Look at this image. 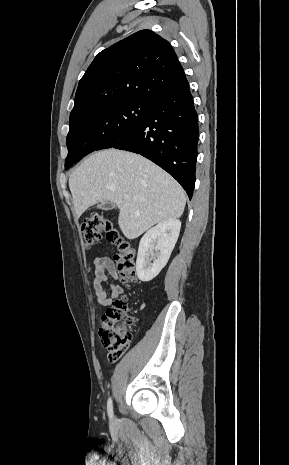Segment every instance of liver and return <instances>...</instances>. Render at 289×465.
Returning a JSON list of instances; mask_svg holds the SVG:
<instances>
[{"label": "liver", "instance_id": "1", "mask_svg": "<svg viewBox=\"0 0 289 465\" xmlns=\"http://www.w3.org/2000/svg\"><path fill=\"white\" fill-rule=\"evenodd\" d=\"M69 188L77 218L98 202L116 204L128 239L181 217L186 204L184 190L168 173L141 155L114 148L87 157L70 175Z\"/></svg>", "mask_w": 289, "mask_h": 465}]
</instances>
